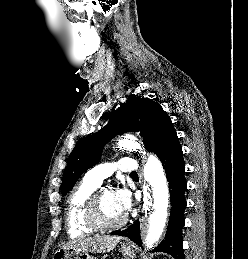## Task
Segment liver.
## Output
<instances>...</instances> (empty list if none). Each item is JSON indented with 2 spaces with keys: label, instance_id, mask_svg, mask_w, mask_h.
I'll use <instances>...</instances> for the list:
<instances>
[{
  "label": "liver",
  "instance_id": "1",
  "mask_svg": "<svg viewBox=\"0 0 248 259\" xmlns=\"http://www.w3.org/2000/svg\"><path fill=\"white\" fill-rule=\"evenodd\" d=\"M120 236H95L90 238H78L63 246V249L73 248L87 253H106L110 252L119 243Z\"/></svg>",
  "mask_w": 248,
  "mask_h": 259
}]
</instances>
